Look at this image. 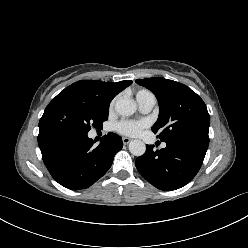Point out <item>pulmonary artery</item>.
Wrapping results in <instances>:
<instances>
[{
	"mask_svg": "<svg viewBox=\"0 0 248 248\" xmlns=\"http://www.w3.org/2000/svg\"><path fill=\"white\" fill-rule=\"evenodd\" d=\"M137 101H138L141 111L144 113L150 112L156 103V99L154 95L145 96L143 98L138 99Z\"/></svg>",
	"mask_w": 248,
	"mask_h": 248,
	"instance_id": "pulmonary-artery-1",
	"label": "pulmonary artery"
}]
</instances>
